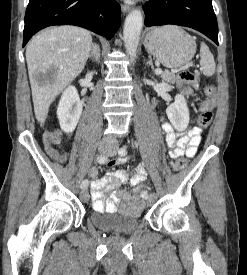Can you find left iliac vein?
<instances>
[{"mask_svg":"<svg viewBox=\"0 0 247 275\" xmlns=\"http://www.w3.org/2000/svg\"><path fill=\"white\" fill-rule=\"evenodd\" d=\"M118 149V144L114 143L113 144V148L107 153L109 156H114L116 151ZM143 192H147V191H143ZM147 200V204L151 205L155 200H156V194L153 193L150 197L144 198Z\"/></svg>","mask_w":247,"mask_h":275,"instance_id":"4c4485c4","label":"left iliac vein"}]
</instances>
